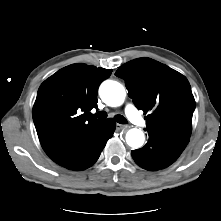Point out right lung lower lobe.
<instances>
[{
    "instance_id": "right-lung-lower-lobe-1",
    "label": "right lung lower lobe",
    "mask_w": 221,
    "mask_h": 221,
    "mask_svg": "<svg viewBox=\"0 0 221 221\" xmlns=\"http://www.w3.org/2000/svg\"><path fill=\"white\" fill-rule=\"evenodd\" d=\"M115 126L111 118L102 120L52 160L70 170L80 171L89 168L97 161L107 140L112 137Z\"/></svg>"
}]
</instances>
